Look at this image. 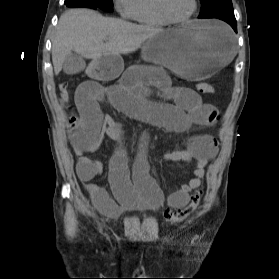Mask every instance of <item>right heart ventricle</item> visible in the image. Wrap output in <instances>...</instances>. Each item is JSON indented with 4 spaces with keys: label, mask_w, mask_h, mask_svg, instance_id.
<instances>
[{
    "label": "right heart ventricle",
    "mask_w": 279,
    "mask_h": 279,
    "mask_svg": "<svg viewBox=\"0 0 279 279\" xmlns=\"http://www.w3.org/2000/svg\"><path fill=\"white\" fill-rule=\"evenodd\" d=\"M132 18L145 26L157 27L169 24L160 15L156 0H135V9Z\"/></svg>",
    "instance_id": "right-heart-ventricle-1"
}]
</instances>
